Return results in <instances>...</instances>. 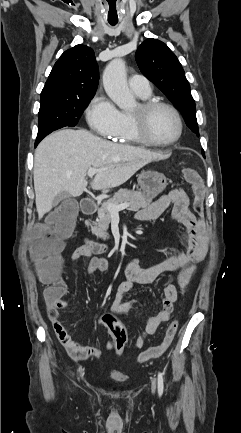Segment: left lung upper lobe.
<instances>
[{"instance_id": "obj_1", "label": "left lung upper lobe", "mask_w": 241, "mask_h": 433, "mask_svg": "<svg viewBox=\"0 0 241 433\" xmlns=\"http://www.w3.org/2000/svg\"><path fill=\"white\" fill-rule=\"evenodd\" d=\"M135 58L143 75L177 106L187 126L199 136L195 101L176 55L165 43L149 38L138 47Z\"/></svg>"}]
</instances>
